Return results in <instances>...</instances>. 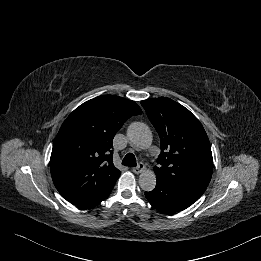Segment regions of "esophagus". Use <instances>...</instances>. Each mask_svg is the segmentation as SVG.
Wrapping results in <instances>:
<instances>
[{
    "mask_svg": "<svg viewBox=\"0 0 261 261\" xmlns=\"http://www.w3.org/2000/svg\"><path fill=\"white\" fill-rule=\"evenodd\" d=\"M144 169H145V165H144L142 162H140L137 167L132 168V171H133V173H135V174H139V173H141Z\"/></svg>",
    "mask_w": 261,
    "mask_h": 261,
    "instance_id": "34e87169",
    "label": "esophagus"
}]
</instances>
